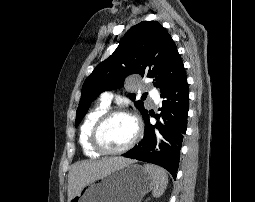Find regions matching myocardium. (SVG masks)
<instances>
[{"label": "myocardium", "mask_w": 255, "mask_h": 202, "mask_svg": "<svg viewBox=\"0 0 255 202\" xmlns=\"http://www.w3.org/2000/svg\"><path fill=\"white\" fill-rule=\"evenodd\" d=\"M118 115H124L130 117L134 124H135V134L133 138L127 143L124 147L120 149H108L105 147L102 142H101V131L104 127V125L113 117L118 116ZM142 135V125L138 118L133 115L132 113L128 112L127 110L121 109V108H116V109H108L105 113H103L95 122L91 135H90V143L92 147L98 151L101 154H107V155H119L127 152L130 150L140 139Z\"/></svg>", "instance_id": "f54148a6"}]
</instances>
